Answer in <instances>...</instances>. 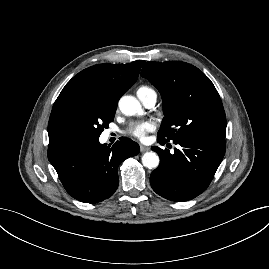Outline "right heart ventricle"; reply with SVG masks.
Listing matches in <instances>:
<instances>
[{"label": "right heart ventricle", "mask_w": 269, "mask_h": 269, "mask_svg": "<svg viewBox=\"0 0 269 269\" xmlns=\"http://www.w3.org/2000/svg\"><path fill=\"white\" fill-rule=\"evenodd\" d=\"M155 93V91L147 85H142L137 89V95L139 96L140 99L146 97L147 95Z\"/></svg>", "instance_id": "e07e8e85"}]
</instances>
